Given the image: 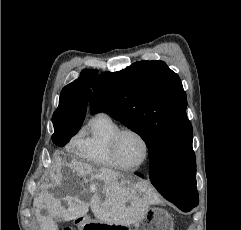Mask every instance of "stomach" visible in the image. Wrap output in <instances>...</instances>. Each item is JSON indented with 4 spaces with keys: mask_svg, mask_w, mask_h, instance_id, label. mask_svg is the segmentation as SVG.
Here are the masks:
<instances>
[{
    "mask_svg": "<svg viewBox=\"0 0 241 230\" xmlns=\"http://www.w3.org/2000/svg\"><path fill=\"white\" fill-rule=\"evenodd\" d=\"M127 182L121 175L117 177V183ZM174 221L171 215L159 207H149L142 219L130 226L108 224L99 220L84 219L80 224L79 230H173Z\"/></svg>",
    "mask_w": 241,
    "mask_h": 230,
    "instance_id": "1",
    "label": "stomach"
}]
</instances>
